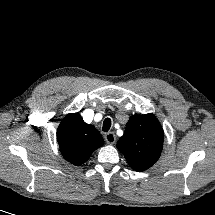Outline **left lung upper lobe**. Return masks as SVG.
Returning a JSON list of instances; mask_svg holds the SVG:
<instances>
[{
	"label": "left lung upper lobe",
	"mask_w": 215,
	"mask_h": 215,
	"mask_svg": "<svg viewBox=\"0 0 215 215\" xmlns=\"http://www.w3.org/2000/svg\"><path fill=\"white\" fill-rule=\"evenodd\" d=\"M164 131L153 114L133 115L117 148L136 171L150 168L160 157Z\"/></svg>",
	"instance_id": "5c2ea615"
}]
</instances>
